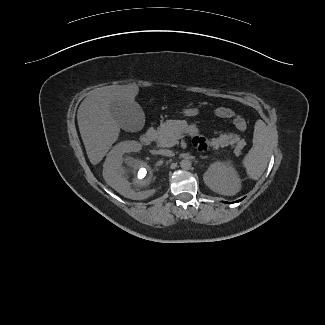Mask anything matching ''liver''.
Listing matches in <instances>:
<instances>
[{
  "label": "liver",
  "mask_w": 325,
  "mask_h": 325,
  "mask_svg": "<svg viewBox=\"0 0 325 325\" xmlns=\"http://www.w3.org/2000/svg\"><path fill=\"white\" fill-rule=\"evenodd\" d=\"M138 93L137 85L105 86L91 91L80 104L77 112L79 131L93 165L105 157L120 134V126L110 112L111 103L118 100L135 102Z\"/></svg>",
  "instance_id": "liver-1"
}]
</instances>
